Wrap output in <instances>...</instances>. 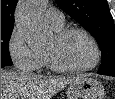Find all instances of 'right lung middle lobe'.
Masks as SVG:
<instances>
[{
    "label": "right lung middle lobe",
    "instance_id": "1",
    "mask_svg": "<svg viewBox=\"0 0 115 99\" xmlns=\"http://www.w3.org/2000/svg\"><path fill=\"white\" fill-rule=\"evenodd\" d=\"M13 28H1V66L12 65V60L9 54V40Z\"/></svg>",
    "mask_w": 115,
    "mask_h": 99
}]
</instances>
